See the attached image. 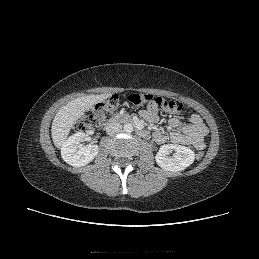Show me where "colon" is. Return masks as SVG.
<instances>
[{"label": "colon", "mask_w": 259, "mask_h": 259, "mask_svg": "<svg viewBox=\"0 0 259 259\" xmlns=\"http://www.w3.org/2000/svg\"><path fill=\"white\" fill-rule=\"evenodd\" d=\"M129 104L139 106L144 103L154 105L157 109L169 111L173 113H182L184 105L176 100H167L163 97H155L149 94L134 93L127 98ZM119 106V98L113 95L107 100L99 103L95 110L87 112L79 121L77 128L80 130L92 129L100 126L102 123L110 119L116 112ZM204 153L199 151L196 153L198 160L202 159Z\"/></svg>", "instance_id": "colon-1"}]
</instances>
